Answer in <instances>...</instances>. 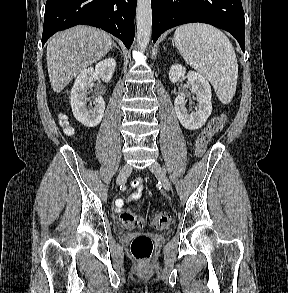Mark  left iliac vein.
Instances as JSON below:
<instances>
[{
    "mask_svg": "<svg viewBox=\"0 0 288 293\" xmlns=\"http://www.w3.org/2000/svg\"><path fill=\"white\" fill-rule=\"evenodd\" d=\"M149 169L161 181L163 188L166 191H169L171 189V183L161 165L157 161H155L149 166Z\"/></svg>",
    "mask_w": 288,
    "mask_h": 293,
    "instance_id": "4c4485c4",
    "label": "left iliac vein"
}]
</instances>
